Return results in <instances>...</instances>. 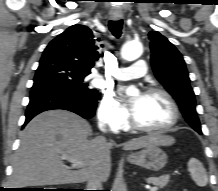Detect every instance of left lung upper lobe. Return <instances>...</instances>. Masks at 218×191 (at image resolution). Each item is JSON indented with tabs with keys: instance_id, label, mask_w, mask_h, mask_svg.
I'll return each instance as SVG.
<instances>
[{
	"instance_id": "left-lung-upper-lobe-1",
	"label": "left lung upper lobe",
	"mask_w": 218,
	"mask_h": 191,
	"mask_svg": "<svg viewBox=\"0 0 218 191\" xmlns=\"http://www.w3.org/2000/svg\"><path fill=\"white\" fill-rule=\"evenodd\" d=\"M149 39L151 63L156 78L177 101L190 126L202 134L195 109V94L190 86L188 71L181 53L157 31H151Z\"/></svg>"
}]
</instances>
